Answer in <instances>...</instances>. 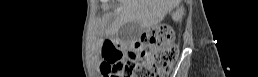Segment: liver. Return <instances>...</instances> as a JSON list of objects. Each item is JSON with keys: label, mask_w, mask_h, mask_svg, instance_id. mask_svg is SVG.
Wrapping results in <instances>:
<instances>
[{"label": "liver", "mask_w": 258, "mask_h": 77, "mask_svg": "<svg viewBox=\"0 0 258 77\" xmlns=\"http://www.w3.org/2000/svg\"><path fill=\"white\" fill-rule=\"evenodd\" d=\"M180 0H120V17L117 27L127 22H138L148 28L160 23L168 11L178 8L174 20H180L184 9L179 7Z\"/></svg>", "instance_id": "6515ba94"}]
</instances>
